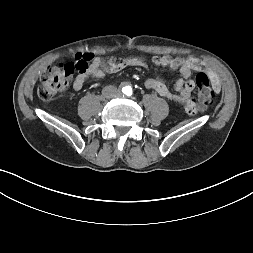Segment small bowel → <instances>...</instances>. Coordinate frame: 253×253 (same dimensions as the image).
Returning <instances> with one entry per match:
<instances>
[{
  "mask_svg": "<svg viewBox=\"0 0 253 253\" xmlns=\"http://www.w3.org/2000/svg\"><path fill=\"white\" fill-rule=\"evenodd\" d=\"M79 56H81V54H78L76 58ZM152 62L157 66L179 70L180 77L174 84L175 92H172L160 78L147 79L145 81V87L156 92L163 98L183 103L185 114L189 117L195 116L201 108V103L198 101V95L193 92L195 89L194 81L188 79L192 71L204 70L202 63L198 59L192 57L173 58L170 56H155L152 58ZM126 67L148 68V64L141 57L110 58L109 60H104L99 56H93L88 70L75 78L73 88L76 91H80L89 77L100 79L103 78L106 73H117ZM213 87L215 90H219V83L216 79H213Z\"/></svg>",
  "mask_w": 253,
  "mask_h": 253,
  "instance_id": "1",
  "label": "small bowel"
}]
</instances>
